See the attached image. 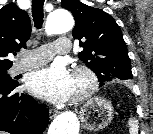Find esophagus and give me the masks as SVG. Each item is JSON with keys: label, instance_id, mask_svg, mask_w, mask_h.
<instances>
[{"label": "esophagus", "instance_id": "34e87169", "mask_svg": "<svg viewBox=\"0 0 153 134\" xmlns=\"http://www.w3.org/2000/svg\"><path fill=\"white\" fill-rule=\"evenodd\" d=\"M49 115L50 117H54L56 115V111H50Z\"/></svg>", "mask_w": 153, "mask_h": 134}]
</instances>
